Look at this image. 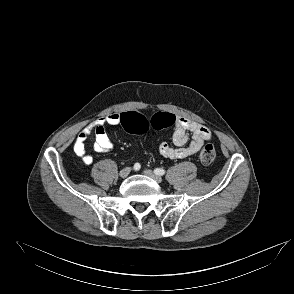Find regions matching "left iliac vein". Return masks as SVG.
<instances>
[{
  "label": "left iliac vein",
  "instance_id": "left-iliac-vein-1",
  "mask_svg": "<svg viewBox=\"0 0 294 294\" xmlns=\"http://www.w3.org/2000/svg\"><path fill=\"white\" fill-rule=\"evenodd\" d=\"M144 175L152 178L153 180H155L157 183H161L162 182V178L160 176H158L157 174H155L153 171L151 170H144L143 171Z\"/></svg>",
  "mask_w": 294,
  "mask_h": 294
}]
</instances>
